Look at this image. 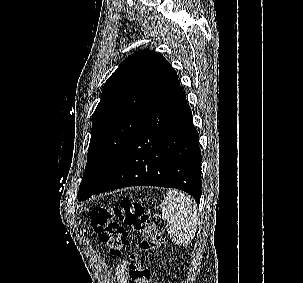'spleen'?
I'll list each match as a JSON object with an SVG mask.
<instances>
[{"mask_svg":"<svg viewBox=\"0 0 303 283\" xmlns=\"http://www.w3.org/2000/svg\"><path fill=\"white\" fill-rule=\"evenodd\" d=\"M162 219L167 221V231L177 245H187L197 229V209L189 196L169 189L161 202Z\"/></svg>","mask_w":303,"mask_h":283,"instance_id":"obj_1","label":"spleen"}]
</instances>
